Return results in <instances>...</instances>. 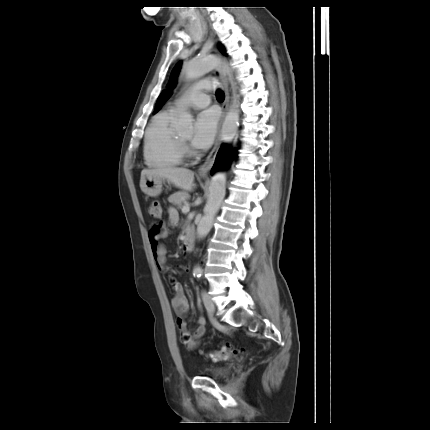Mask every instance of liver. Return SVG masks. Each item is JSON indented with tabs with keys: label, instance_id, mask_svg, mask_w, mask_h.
I'll use <instances>...</instances> for the list:
<instances>
[{
	"label": "liver",
	"instance_id": "6515ba94",
	"mask_svg": "<svg viewBox=\"0 0 430 430\" xmlns=\"http://www.w3.org/2000/svg\"><path fill=\"white\" fill-rule=\"evenodd\" d=\"M146 175H154L163 178L175 187L185 191H191L193 189L194 172L186 168L167 166L142 170L141 178Z\"/></svg>",
	"mask_w": 430,
	"mask_h": 430
}]
</instances>
